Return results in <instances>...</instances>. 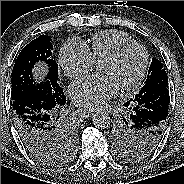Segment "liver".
I'll use <instances>...</instances> for the list:
<instances>
[{
	"label": "liver",
	"instance_id": "1",
	"mask_svg": "<svg viewBox=\"0 0 184 184\" xmlns=\"http://www.w3.org/2000/svg\"><path fill=\"white\" fill-rule=\"evenodd\" d=\"M46 71L44 66H39L36 68L35 72H36V76L42 75L44 74Z\"/></svg>",
	"mask_w": 184,
	"mask_h": 184
}]
</instances>
